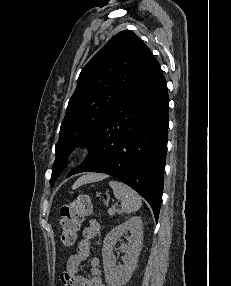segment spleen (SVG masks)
<instances>
[{
  "instance_id": "obj_1",
  "label": "spleen",
  "mask_w": 231,
  "mask_h": 286,
  "mask_svg": "<svg viewBox=\"0 0 231 286\" xmlns=\"http://www.w3.org/2000/svg\"><path fill=\"white\" fill-rule=\"evenodd\" d=\"M109 186L112 188L114 196L121 201L122 212L133 213L141 207V197L131 187L115 180L109 181Z\"/></svg>"
}]
</instances>
